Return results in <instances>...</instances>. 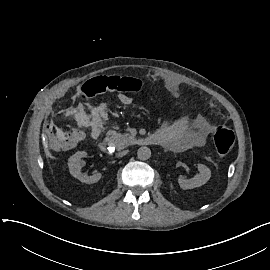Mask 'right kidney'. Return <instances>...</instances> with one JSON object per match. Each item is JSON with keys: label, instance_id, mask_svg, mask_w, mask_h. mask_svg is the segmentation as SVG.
I'll return each mask as SVG.
<instances>
[{"label": "right kidney", "instance_id": "ca27d5eb", "mask_svg": "<svg viewBox=\"0 0 270 270\" xmlns=\"http://www.w3.org/2000/svg\"><path fill=\"white\" fill-rule=\"evenodd\" d=\"M87 156V152L78 151L68 159V167L70 174L80 180L83 183L92 184L96 183L101 179V173H96L92 176H88L81 173V161L80 159Z\"/></svg>", "mask_w": 270, "mask_h": 270}]
</instances>
